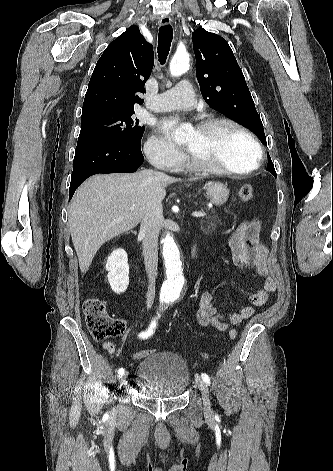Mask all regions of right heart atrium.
I'll return each mask as SVG.
<instances>
[{
  "label": "right heart atrium",
  "instance_id": "d8ad5b80",
  "mask_svg": "<svg viewBox=\"0 0 333 471\" xmlns=\"http://www.w3.org/2000/svg\"><path fill=\"white\" fill-rule=\"evenodd\" d=\"M144 151L149 161L159 169L173 171L182 166L184 154L158 135L146 141Z\"/></svg>",
  "mask_w": 333,
  "mask_h": 471
}]
</instances>
